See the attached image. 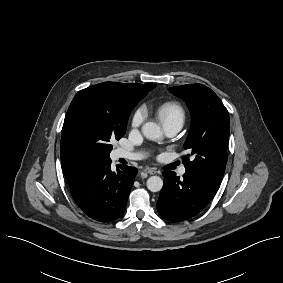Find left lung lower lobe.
<instances>
[{
	"label": "left lung lower lobe",
	"instance_id": "left-lung-lower-lobe-1",
	"mask_svg": "<svg viewBox=\"0 0 283 283\" xmlns=\"http://www.w3.org/2000/svg\"><path fill=\"white\" fill-rule=\"evenodd\" d=\"M164 183L157 202L159 215L169 221L180 222L201 212L218 189L185 172L183 179L175 172H163Z\"/></svg>",
	"mask_w": 283,
	"mask_h": 283
}]
</instances>
